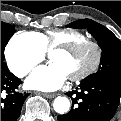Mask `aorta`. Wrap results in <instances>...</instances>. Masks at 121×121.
<instances>
[{
    "label": "aorta",
    "mask_w": 121,
    "mask_h": 121,
    "mask_svg": "<svg viewBox=\"0 0 121 121\" xmlns=\"http://www.w3.org/2000/svg\"><path fill=\"white\" fill-rule=\"evenodd\" d=\"M53 107L57 113L65 114L70 109V102H69L68 98L63 97V96H58L54 100Z\"/></svg>",
    "instance_id": "obj_1"
}]
</instances>
